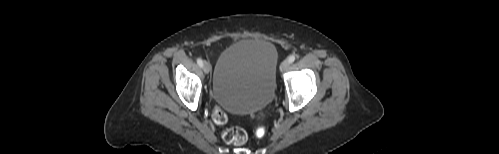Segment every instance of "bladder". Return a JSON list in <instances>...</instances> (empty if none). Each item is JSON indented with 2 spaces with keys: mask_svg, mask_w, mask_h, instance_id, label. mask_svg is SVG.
Listing matches in <instances>:
<instances>
[{
  "mask_svg": "<svg viewBox=\"0 0 499 154\" xmlns=\"http://www.w3.org/2000/svg\"><path fill=\"white\" fill-rule=\"evenodd\" d=\"M277 51L262 39H245L219 56L213 81V99L233 113H252L266 108L276 86Z\"/></svg>",
  "mask_w": 499,
  "mask_h": 154,
  "instance_id": "obj_1",
  "label": "bladder"
}]
</instances>
